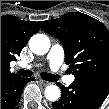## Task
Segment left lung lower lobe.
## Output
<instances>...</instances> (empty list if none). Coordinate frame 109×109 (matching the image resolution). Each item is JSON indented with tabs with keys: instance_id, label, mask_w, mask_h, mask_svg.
<instances>
[{
	"instance_id": "0a47b994",
	"label": "left lung lower lobe",
	"mask_w": 109,
	"mask_h": 109,
	"mask_svg": "<svg viewBox=\"0 0 109 109\" xmlns=\"http://www.w3.org/2000/svg\"><path fill=\"white\" fill-rule=\"evenodd\" d=\"M62 95L53 102V109H97L109 94V89L100 85L74 80L69 87L59 84Z\"/></svg>"
}]
</instances>
